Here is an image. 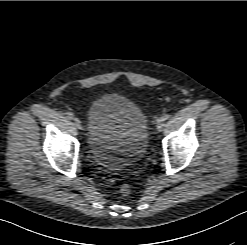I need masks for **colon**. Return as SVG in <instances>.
<instances>
[{"mask_svg": "<svg viewBox=\"0 0 247 245\" xmlns=\"http://www.w3.org/2000/svg\"><path fill=\"white\" fill-rule=\"evenodd\" d=\"M120 192L123 196H128L131 193V186L129 184H122L120 187Z\"/></svg>", "mask_w": 247, "mask_h": 245, "instance_id": "obj_1", "label": "colon"}]
</instances>
